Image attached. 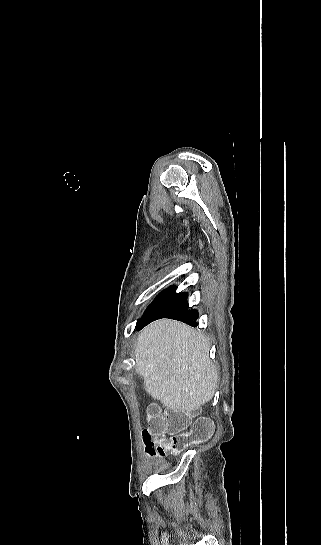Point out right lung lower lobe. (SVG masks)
<instances>
[{"instance_id": "98d812e1", "label": "right lung lower lobe", "mask_w": 321, "mask_h": 545, "mask_svg": "<svg viewBox=\"0 0 321 545\" xmlns=\"http://www.w3.org/2000/svg\"><path fill=\"white\" fill-rule=\"evenodd\" d=\"M176 287L170 286L162 291L147 307L140 319L137 330L160 318H171L183 321L191 326H197L198 312L188 309V294L176 293Z\"/></svg>"}]
</instances>
